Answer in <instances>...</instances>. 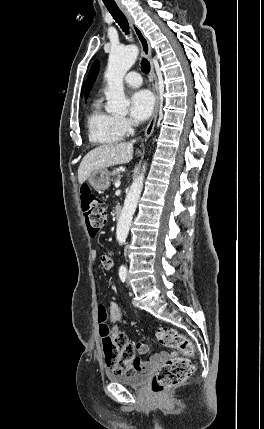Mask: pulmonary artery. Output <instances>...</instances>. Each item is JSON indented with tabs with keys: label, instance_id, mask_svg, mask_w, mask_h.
Instances as JSON below:
<instances>
[{
	"label": "pulmonary artery",
	"instance_id": "obj_1",
	"mask_svg": "<svg viewBox=\"0 0 264 429\" xmlns=\"http://www.w3.org/2000/svg\"><path fill=\"white\" fill-rule=\"evenodd\" d=\"M124 82L131 87H138L142 84V78L139 73L131 71L126 74Z\"/></svg>",
	"mask_w": 264,
	"mask_h": 429
}]
</instances>
